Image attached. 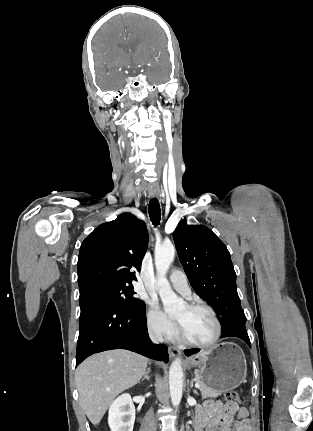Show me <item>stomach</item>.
Wrapping results in <instances>:
<instances>
[{
    "label": "stomach",
    "instance_id": "stomach-1",
    "mask_svg": "<svg viewBox=\"0 0 313 431\" xmlns=\"http://www.w3.org/2000/svg\"><path fill=\"white\" fill-rule=\"evenodd\" d=\"M195 367L197 377L208 388L226 392L240 386L246 378L247 364L243 351L233 342H224L213 349L201 351L187 360Z\"/></svg>",
    "mask_w": 313,
    "mask_h": 431
}]
</instances>
